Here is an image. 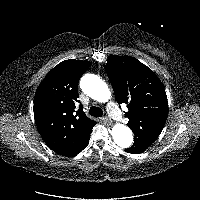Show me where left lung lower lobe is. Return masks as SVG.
<instances>
[{
  "mask_svg": "<svg viewBox=\"0 0 200 200\" xmlns=\"http://www.w3.org/2000/svg\"><path fill=\"white\" fill-rule=\"evenodd\" d=\"M148 147L146 146H132L128 149H126L125 151L128 152V153H132V154H139V153H142L144 152Z\"/></svg>",
  "mask_w": 200,
  "mask_h": 200,
  "instance_id": "1",
  "label": "left lung lower lobe"
}]
</instances>
